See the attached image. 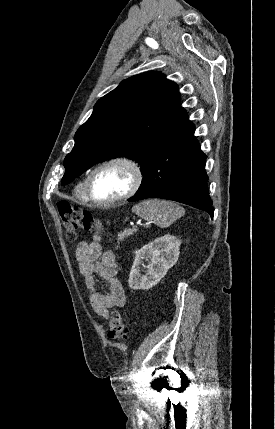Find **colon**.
I'll return each instance as SVG.
<instances>
[{
  "instance_id": "1",
  "label": "colon",
  "mask_w": 275,
  "mask_h": 429,
  "mask_svg": "<svg viewBox=\"0 0 275 429\" xmlns=\"http://www.w3.org/2000/svg\"><path fill=\"white\" fill-rule=\"evenodd\" d=\"M57 209L66 236L70 241H75L78 231L100 233L103 227L86 209L73 206L66 201L58 202ZM128 336L127 327L122 314L113 309L111 312L108 337L111 340H125Z\"/></svg>"
}]
</instances>
